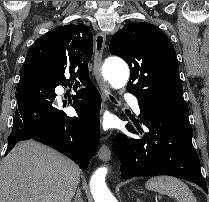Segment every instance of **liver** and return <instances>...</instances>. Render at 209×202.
<instances>
[{
    "label": "liver",
    "mask_w": 209,
    "mask_h": 202,
    "mask_svg": "<svg viewBox=\"0 0 209 202\" xmlns=\"http://www.w3.org/2000/svg\"><path fill=\"white\" fill-rule=\"evenodd\" d=\"M78 166L35 141L18 143L0 165V202H70Z\"/></svg>",
    "instance_id": "1"
}]
</instances>
